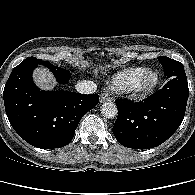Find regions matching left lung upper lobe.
I'll list each match as a JSON object with an SVG mask.
<instances>
[{"instance_id":"left-lung-upper-lobe-1","label":"left lung upper lobe","mask_w":195,"mask_h":195,"mask_svg":"<svg viewBox=\"0 0 195 195\" xmlns=\"http://www.w3.org/2000/svg\"><path fill=\"white\" fill-rule=\"evenodd\" d=\"M158 60L161 62L164 68V75L168 79L176 76H186L182 63L165 56L158 57Z\"/></svg>"}]
</instances>
